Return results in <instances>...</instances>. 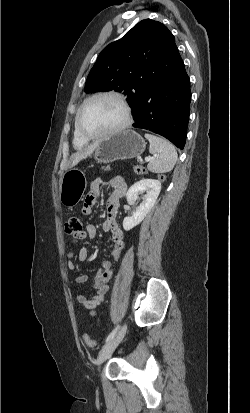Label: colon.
<instances>
[{
	"label": "colon",
	"instance_id": "5ec220e1",
	"mask_svg": "<svg viewBox=\"0 0 250 413\" xmlns=\"http://www.w3.org/2000/svg\"><path fill=\"white\" fill-rule=\"evenodd\" d=\"M134 171L137 174H145V173H147L148 175L152 174L151 170L147 171L146 168L141 165L134 166ZM155 178L158 183H165L167 181V176L162 171H157L155 173ZM80 229H82V223H81L80 218L77 216H71L65 223V232L68 236L77 238L74 236V231L80 230ZM83 341L89 347H96L98 345L97 341L93 339L90 335H88L87 333L83 335Z\"/></svg>",
	"mask_w": 250,
	"mask_h": 413
}]
</instances>
